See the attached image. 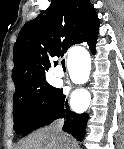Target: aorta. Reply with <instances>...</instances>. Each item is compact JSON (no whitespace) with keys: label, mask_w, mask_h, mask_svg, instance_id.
I'll list each match as a JSON object with an SVG mask.
<instances>
[{"label":"aorta","mask_w":124,"mask_h":149,"mask_svg":"<svg viewBox=\"0 0 124 149\" xmlns=\"http://www.w3.org/2000/svg\"><path fill=\"white\" fill-rule=\"evenodd\" d=\"M80 61L83 67H80ZM70 66L72 68V73L77 74L78 72L82 71L85 75H88L90 69V58L87 52H81L79 55L72 61H70Z\"/></svg>","instance_id":"1"}]
</instances>
